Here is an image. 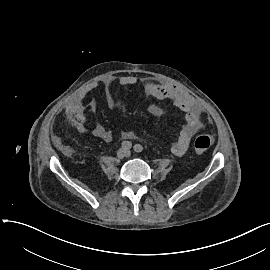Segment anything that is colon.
I'll return each instance as SVG.
<instances>
[{
  "label": "colon",
  "instance_id": "1",
  "mask_svg": "<svg viewBox=\"0 0 270 270\" xmlns=\"http://www.w3.org/2000/svg\"><path fill=\"white\" fill-rule=\"evenodd\" d=\"M212 146V138L208 134H198L194 138V147L197 152L203 153Z\"/></svg>",
  "mask_w": 270,
  "mask_h": 270
}]
</instances>
